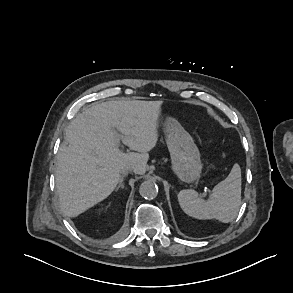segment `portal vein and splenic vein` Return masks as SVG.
<instances>
[{"label": "portal vein and splenic vein", "instance_id": "1", "mask_svg": "<svg viewBox=\"0 0 293 293\" xmlns=\"http://www.w3.org/2000/svg\"><path fill=\"white\" fill-rule=\"evenodd\" d=\"M116 137H117V142L119 143L120 135L116 133Z\"/></svg>", "mask_w": 293, "mask_h": 293}]
</instances>
